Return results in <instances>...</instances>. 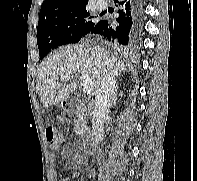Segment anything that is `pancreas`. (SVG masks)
Segmentation results:
<instances>
[{
    "mask_svg": "<svg viewBox=\"0 0 197 181\" xmlns=\"http://www.w3.org/2000/svg\"><path fill=\"white\" fill-rule=\"evenodd\" d=\"M74 125L76 135L86 137L89 134V128L87 127V117L83 112L77 114V117L74 120Z\"/></svg>",
    "mask_w": 197,
    "mask_h": 181,
    "instance_id": "cf45deb5",
    "label": "pancreas"
}]
</instances>
